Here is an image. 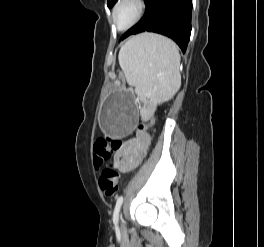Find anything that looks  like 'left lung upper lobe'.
I'll return each mask as SVG.
<instances>
[{"mask_svg": "<svg viewBox=\"0 0 264 247\" xmlns=\"http://www.w3.org/2000/svg\"><path fill=\"white\" fill-rule=\"evenodd\" d=\"M117 0H108L107 1V6L110 8L112 7L115 3H116Z\"/></svg>", "mask_w": 264, "mask_h": 247, "instance_id": "obj_1", "label": "left lung upper lobe"}]
</instances>
